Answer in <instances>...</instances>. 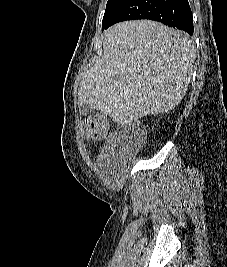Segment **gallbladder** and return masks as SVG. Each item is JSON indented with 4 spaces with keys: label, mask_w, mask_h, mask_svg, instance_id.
<instances>
[{
    "label": "gallbladder",
    "mask_w": 227,
    "mask_h": 267,
    "mask_svg": "<svg viewBox=\"0 0 227 267\" xmlns=\"http://www.w3.org/2000/svg\"><path fill=\"white\" fill-rule=\"evenodd\" d=\"M80 111L83 115L91 114L94 109L91 105L83 103L80 105Z\"/></svg>",
    "instance_id": "obj_1"
}]
</instances>
